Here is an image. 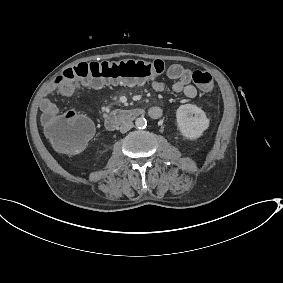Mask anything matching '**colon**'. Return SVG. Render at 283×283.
Instances as JSON below:
<instances>
[{
  "mask_svg": "<svg viewBox=\"0 0 283 283\" xmlns=\"http://www.w3.org/2000/svg\"><path fill=\"white\" fill-rule=\"evenodd\" d=\"M164 70L165 64L160 60L91 62L66 69L57 79L74 85L88 84L100 88L109 83L140 84L161 75ZM192 79L204 92H211L214 88L209 73L195 71ZM43 125L55 148L64 153H78L93 134L91 121L72 110L63 114H44Z\"/></svg>",
  "mask_w": 283,
  "mask_h": 283,
  "instance_id": "colon-1",
  "label": "colon"
}]
</instances>
